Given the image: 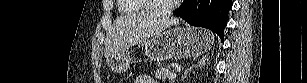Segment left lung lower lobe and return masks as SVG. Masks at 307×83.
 Here are the masks:
<instances>
[{
    "mask_svg": "<svg viewBox=\"0 0 307 83\" xmlns=\"http://www.w3.org/2000/svg\"><path fill=\"white\" fill-rule=\"evenodd\" d=\"M232 4V0H184L174 14L190 25L212 30L223 40Z\"/></svg>",
    "mask_w": 307,
    "mask_h": 83,
    "instance_id": "0a47b994",
    "label": "left lung lower lobe"
}]
</instances>
